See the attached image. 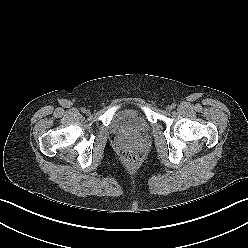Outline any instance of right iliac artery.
Instances as JSON below:
<instances>
[{
    "mask_svg": "<svg viewBox=\"0 0 248 248\" xmlns=\"http://www.w3.org/2000/svg\"><path fill=\"white\" fill-rule=\"evenodd\" d=\"M81 111H82L83 113H85L86 109L83 107V108H81Z\"/></svg>",
    "mask_w": 248,
    "mask_h": 248,
    "instance_id": "right-iliac-artery-1",
    "label": "right iliac artery"
}]
</instances>
